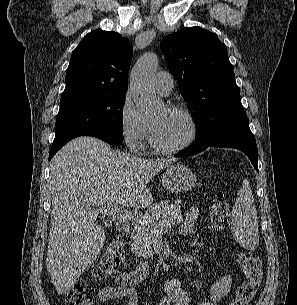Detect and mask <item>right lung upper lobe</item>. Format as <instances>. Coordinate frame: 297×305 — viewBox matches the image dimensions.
I'll return each instance as SVG.
<instances>
[{"label":"right lung upper lobe","mask_w":297,"mask_h":305,"mask_svg":"<svg viewBox=\"0 0 297 305\" xmlns=\"http://www.w3.org/2000/svg\"><path fill=\"white\" fill-rule=\"evenodd\" d=\"M132 54L130 42L115 32L87 34L72 53L61 100L126 93Z\"/></svg>","instance_id":"right-lung-upper-lobe-1"}]
</instances>
